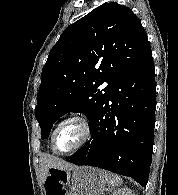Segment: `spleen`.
Here are the masks:
<instances>
[{
    "label": "spleen",
    "instance_id": "spleen-1",
    "mask_svg": "<svg viewBox=\"0 0 178 195\" xmlns=\"http://www.w3.org/2000/svg\"><path fill=\"white\" fill-rule=\"evenodd\" d=\"M102 171V174L105 177V180L107 182V184L112 187V188H116L118 186H120L123 183V180L121 179L120 176L113 174L111 172H107V171Z\"/></svg>",
    "mask_w": 178,
    "mask_h": 195
}]
</instances>
